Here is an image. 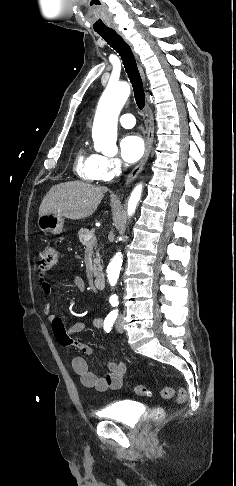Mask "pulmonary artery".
Returning <instances> with one entry per match:
<instances>
[{
	"mask_svg": "<svg viewBox=\"0 0 236 486\" xmlns=\"http://www.w3.org/2000/svg\"><path fill=\"white\" fill-rule=\"evenodd\" d=\"M119 123L124 127V128H132L135 125V118L132 114L125 113L122 114L119 118Z\"/></svg>",
	"mask_w": 236,
	"mask_h": 486,
	"instance_id": "1",
	"label": "pulmonary artery"
}]
</instances>
